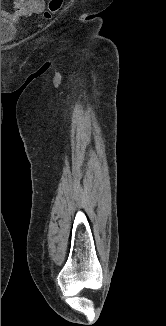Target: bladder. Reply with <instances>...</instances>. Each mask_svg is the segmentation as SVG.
<instances>
[{
    "label": "bladder",
    "mask_w": 166,
    "mask_h": 326,
    "mask_svg": "<svg viewBox=\"0 0 166 326\" xmlns=\"http://www.w3.org/2000/svg\"><path fill=\"white\" fill-rule=\"evenodd\" d=\"M17 25L14 21L1 17V46L9 44L16 36Z\"/></svg>",
    "instance_id": "bladder-1"
}]
</instances>
